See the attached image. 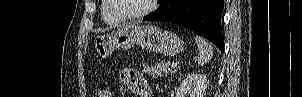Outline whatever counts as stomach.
Masks as SVG:
<instances>
[{
	"instance_id": "stomach-1",
	"label": "stomach",
	"mask_w": 302,
	"mask_h": 97,
	"mask_svg": "<svg viewBox=\"0 0 302 97\" xmlns=\"http://www.w3.org/2000/svg\"><path fill=\"white\" fill-rule=\"evenodd\" d=\"M138 45L148 51L175 56L184 49V42L173 32L153 25H127L109 35H98L94 48L99 58H106L117 48Z\"/></svg>"
}]
</instances>
